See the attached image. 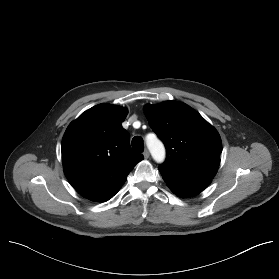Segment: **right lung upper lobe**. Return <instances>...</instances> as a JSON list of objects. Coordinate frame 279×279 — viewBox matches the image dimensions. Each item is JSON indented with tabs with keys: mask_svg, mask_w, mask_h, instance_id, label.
<instances>
[{
	"mask_svg": "<svg viewBox=\"0 0 279 279\" xmlns=\"http://www.w3.org/2000/svg\"><path fill=\"white\" fill-rule=\"evenodd\" d=\"M123 107L99 104L81 114L62 139V163L70 184L91 201L114 196L143 155L133 151L121 123Z\"/></svg>",
	"mask_w": 279,
	"mask_h": 279,
	"instance_id": "right-lung-upper-lobe-1",
	"label": "right lung upper lobe"
}]
</instances>
